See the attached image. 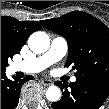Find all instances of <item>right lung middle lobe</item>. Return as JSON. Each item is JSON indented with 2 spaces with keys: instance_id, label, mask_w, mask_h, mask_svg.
Wrapping results in <instances>:
<instances>
[{
  "instance_id": "dd1d6c3e",
  "label": "right lung middle lobe",
  "mask_w": 109,
  "mask_h": 109,
  "mask_svg": "<svg viewBox=\"0 0 109 109\" xmlns=\"http://www.w3.org/2000/svg\"><path fill=\"white\" fill-rule=\"evenodd\" d=\"M13 56L7 51L4 44L1 42V72L5 71V67L8 66V59Z\"/></svg>"
}]
</instances>
